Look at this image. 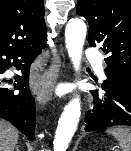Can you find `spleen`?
Listing matches in <instances>:
<instances>
[{
	"mask_svg": "<svg viewBox=\"0 0 131 151\" xmlns=\"http://www.w3.org/2000/svg\"><path fill=\"white\" fill-rule=\"evenodd\" d=\"M118 142L123 151H131V129L126 127H112L106 130Z\"/></svg>",
	"mask_w": 131,
	"mask_h": 151,
	"instance_id": "spleen-1",
	"label": "spleen"
}]
</instances>
